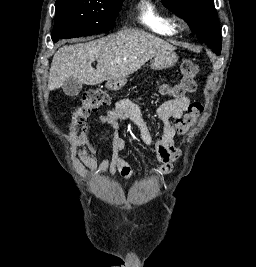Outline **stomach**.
I'll list each match as a JSON object with an SVG mask.
<instances>
[{
  "label": "stomach",
  "instance_id": "obj_1",
  "mask_svg": "<svg viewBox=\"0 0 256 267\" xmlns=\"http://www.w3.org/2000/svg\"><path fill=\"white\" fill-rule=\"evenodd\" d=\"M177 60L178 56L175 54V52H164V54L156 56L154 60V67L157 68V70H166V68L174 66Z\"/></svg>",
  "mask_w": 256,
  "mask_h": 267
}]
</instances>
